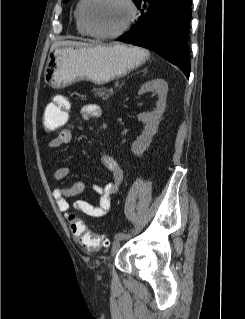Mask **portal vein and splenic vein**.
<instances>
[{
  "instance_id": "obj_1",
  "label": "portal vein and splenic vein",
  "mask_w": 245,
  "mask_h": 319,
  "mask_svg": "<svg viewBox=\"0 0 245 319\" xmlns=\"http://www.w3.org/2000/svg\"><path fill=\"white\" fill-rule=\"evenodd\" d=\"M109 91H110V92H113V91H114V88H113V87H110V88H109Z\"/></svg>"
}]
</instances>
